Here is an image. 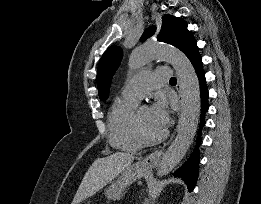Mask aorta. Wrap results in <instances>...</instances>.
I'll return each mask as SVG.
<instances>
[{"label": "aorta", "instance_id": "1", "mask_svg": "<svg viewBox=\"0 0 261 204\" xmlns=\"http://www.w3.org/2000/svg\"><path fill=\"white\" fill-rule=\"evenodd\" d=\"M156 58L166 60L175 69L183 101V117L178 134L157 167V175L162 177L183 159L194 139L200 118V85L190 60L182 51L170 45L145 43L135 48L129 57V67L136 70Z\"/></svg>", "mask_w": 261, "mask_h": 204}]
</instances>
